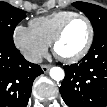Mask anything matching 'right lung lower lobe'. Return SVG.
I'll return each mask as SVG.
<instances>
[{
  "mask_svg": "<svg viewBox=\"0 0 107 107\" xmlns=\"http://www.w3.org/2000/svg\"><path fill=\"white\" fill-rule=\"evenodd\" d=\"M39 65L28 62L16 48L0 45V107H25Z\"/></svg>",
  "mask_w": 107,
  "mask_h": 107,
  "instance_id": "obj_1",
  "label": "right lung lower lobe"
}]
</instances>
